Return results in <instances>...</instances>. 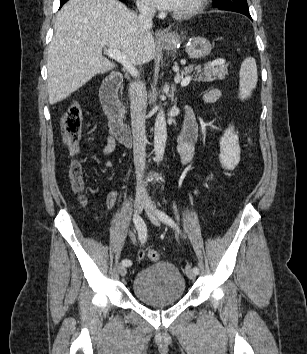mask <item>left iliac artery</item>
Segmentation results:
<instances>
[{"mask_svg":"<svg viewBox=\"0 0 307 354\" xmlns=\"http://www.w3.org/2000/svg\"><path fill=\"white\" fill-rule=\"evenodd\" d=\"M157 215L162 222L175 228L178 232L180 231L178 226L173 221V219L170 216H168L165 212L157 210ZM193 272L197 275L199 273V268L197 266L193 267Z\"/></svg>","mask_w":307,"mask_h":354,"instance_id":"left-iliac-artery-1","label":"left iliac artery"}]
</instances>
